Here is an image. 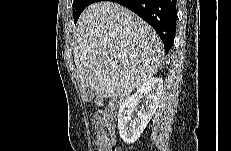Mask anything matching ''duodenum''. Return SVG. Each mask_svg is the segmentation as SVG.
Instances as JSON below:
<instances>
[{
	"mask_svg": "<svg viewBox=\"0 0 231 151\" xmlns=\"http://www.w3.org/2000/svg\"><path fill=\"white\" fill-rule=\"evenodd\" d=\"M117 104L119 105V104H121V102H120V101H117Z\"/></svg>",
	"mask_w": 231,
	"mask_h": 151,
	"instance_id": "duodenum-1",
	"label": "duodenum"
}]
</instances>
